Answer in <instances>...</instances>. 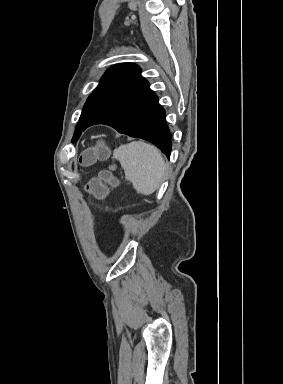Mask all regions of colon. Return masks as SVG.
Here are the masks:
<instances>
[{
	"label": "colon",
	"mask_w": 283,
	"mask_h": 384,
	"mask_svg": "<svg viewBox=\"0 0 283 384\" xmlns=\"http://www.w3.org/2000/svg\"><path fill=\"white\" fill-rule=\"evenodd\" d=\"M109 154V148L103 142H99L94 147L88 149L81 157V160L83 163H91L104 159ZM115 183L116 180L110 172H103L99 177L91 179L86 184L85 190L96 198H103L108 192V187L115 185Z\"/></svg>",
	"instance_id": "5ec220e1"
}]
</instances>
